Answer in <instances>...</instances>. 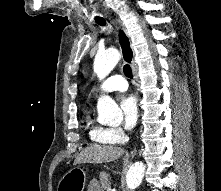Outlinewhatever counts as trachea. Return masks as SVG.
<instances>
[{"instance_id": "trachea-1", "label": "trachea", "mask_w": 221, "mask_h": 191, "mask_svg": "<svg viewBox=\"0 0 221 191\" xmlns=\"http://www.w3.org/2000/svg\"><path fill=\"white\" fill-rule=\"evenodd\" d=\"M96 23H97L98 25H100V26H105V25H106V21H105V19H103V18L97 19V20H96ZM123 71H124V74H125L128 78H133L132 71H131V67H130L128 64L124 65Z\"/></svg>"}]
</instances>
